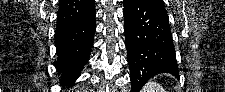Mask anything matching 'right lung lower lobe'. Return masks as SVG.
Returning a JSON list of instances; mask_svg holds the SVG:
<instances>
[{"label": "right lung lower lobe", "mask_w": 225, "mask_h": 92, "mask_svg": "<svg viewBox=\"0 0 225 92\" xmlns=\"http://www.w3.org/2000/svg\"><path fill=\"white\" fill-rule=\"evenodd\" d=\"M96 11L75 21L57 24L54 65L61 75L63 87L72 86L89 59L94 42Z\"/></svg>", "instance_id": "right-lung-lower-lobe-1"}]
</instances>
